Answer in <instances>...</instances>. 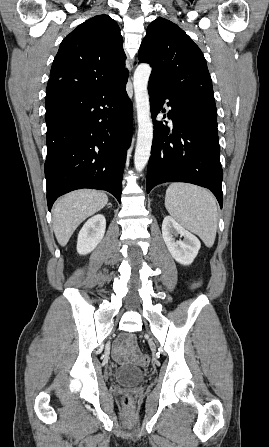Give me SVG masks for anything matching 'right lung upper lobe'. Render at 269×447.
<instances>
[{
	"instance_id": "obj_1",
	"label": "right lung upper lobe",
	"mask_w": 269,
	"mask_h": 447,
	"mask_svg": "<svg viewBox=\"0 0 269 447\" xmlns=\"http://www.w3.org/2000/svg\"><path fill=\"white\" fill-rule=\"evenodd\" d=\"M117 23L98 15L79 25L60 44L46 94L93 89L128 75Z\"/></svg>"
}]
</instances>
